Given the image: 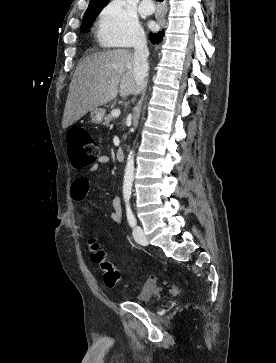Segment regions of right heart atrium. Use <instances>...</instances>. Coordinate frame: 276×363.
Segmentation results:
<instances>
[{"mask_svg": "<svg viewBox=\"0 0 276 363\" xmlns=\"http://www.w3.org/2000/svg\"><path fill=\"white\" fill-rule=\"evenodd\" d=\"M97 34L102 43L122 47L143 39L137 15L125 0H112L105 6L97 21Z\"/></svg>", "mask_w": 276, "mask_h": 363, "instance_id": "right-heart-atrium-1", "label": "right heart atrium"}]
</instances>
